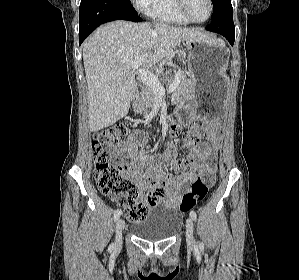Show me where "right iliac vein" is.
I'll use <instances>...</instances> for the list:
<instances>
[{"instance_id": "63e3f726", "label": "right iliac vein", "mask_w": 299, "mask_h": 280, "mask_svg": "<svg viewBox=\"0 0 299 280\" xmlns=\"http://www.w3.org/2000/svg\"><path fill=\"white\" fill-rule=\"evenodd\" d=\"M125 227V222L122 219H118L116 222V239H115V249L118 250L122 246V232Z\"/></svg>"}]
</instances>
